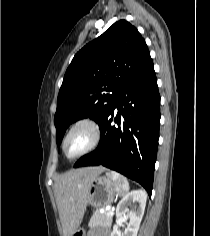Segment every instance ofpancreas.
Wrapping results in <instances>:
<instances>
[{"mask_svg":"<svg viewBox=\"0 0 210 236\" xmlns=\"http://www.w3.org/2000/svg\"><path fill=\"white\" fill-rule=\"evenodd\" d=\"M112 224V215L108 214V211L100 213L95 211L89 221V227L104 226L110 227Z\"/></svg>","mask_w":210,"mask_h":236,"instance_id":"obj_1","label":"pancreas"}]
</instances>
